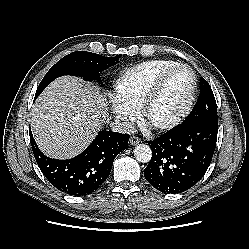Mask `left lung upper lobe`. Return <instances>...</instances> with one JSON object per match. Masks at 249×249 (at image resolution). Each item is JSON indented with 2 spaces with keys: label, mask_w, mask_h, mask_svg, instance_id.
<instances>
[{
  "label": "left lung upper lobe",
  "mask_w": 249,
  "mask_h": 249,
  "mask_svg": "<svg viewBox=\"0 0 249 249\" xmlns=\"http://www.w3.org/2000/svg\"><path fill=\"white\" fill-rule=\"evenodd\" d=\"M183 123H208L218 125L217 105L208 82L200 79V95L191 113Z\"/></svg>",
  "instance_id": "1"
}]
</instances>
